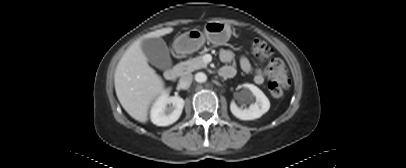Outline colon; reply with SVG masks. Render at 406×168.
I'll return each instance as SVG.
<instances>
[{"mask_svg": "<svg viewBox=\"0 0 406 168\" xmlns=\"http://www.w3.org/2000/svg\"><path fill=\"white\" fill-rule=\"evenodd\" d=\"M252 53L267 61L269 90L272 96L279 98L288 87V75L281 59L273 57L271 46L264 40L256 39L250 44Z\"/></svg>", "mask_w": 406, "mask_h": 168, "instance_id": "1", "label": "colon"}]
</instances>
